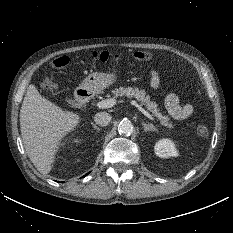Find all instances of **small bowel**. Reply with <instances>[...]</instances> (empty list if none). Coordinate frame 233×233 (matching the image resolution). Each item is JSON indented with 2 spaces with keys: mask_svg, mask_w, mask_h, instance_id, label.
<instances>
[{
  "mask_svg": "<svg viewBox=\"0 0 233 233\" xmlns=\"http://www.w3.org/2000/svg\"><path fill=\"white\" fill-rule=\"evenodd\" d=\"M150 86L153 90H157L160 84L158 72L152 70L149 74ZM165 106L168 113L177 120L186 119L194 112V107L189 104H181L178 96L175 93H170L165 98Z\"/></svg>",
  "mask_w": 233,
  "mask_h": 233,
  "instance_id": "1",
  "label": "small bowel"
}]
</instances>
